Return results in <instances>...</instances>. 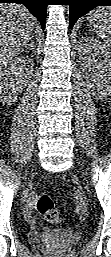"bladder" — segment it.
I'll return each mask as SVG.
<instances>
[{
	"label": "bladder",
	"instance_id": "bladder-1",
	"mask_svg": "<svg viewBox=\"0 0 111 257\" xmlns=\"http://www.w3.org/2000/svg\"><path fill=\"white\" fill-rule=\"evenodd\" d=\"M80 235L67 230H55L45 235L44 240L53 244L57 250L65 251L80 242Z\"/></svg>",
	"mask_w": 111,
	"mask_h": 257
}]
</instances>
